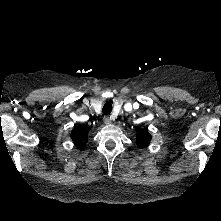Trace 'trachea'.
Returning a JSON list of instances; mask_svg holds the SVG:
<instances>
[{"label":"trachea","mask_w":221,"mask_h":221,"mask_svg":"<svg viewBox=\"0 0 221 221\" xmlns=\"http://www.w3.org/2000/svg\"><path fill=\"white\" fill-rule=\"evenodd\" d=\"M112 104L110 102H106L103 106L102 112L104 115H108L112 112Z\"/></svg>","instance_id":"trachea-1"}]
</instances>
